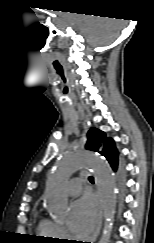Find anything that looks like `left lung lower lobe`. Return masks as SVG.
<instances>
[{"label":"left lung lower lobe","instance_id":"0a47b994","mask_svg":"<svg viewBox=\"0 0 154 243\" xmlns=\"http://www.w3.org/2000/svg\"><path fill=\"white\" fill-rule=\"evenodd\" d=\"M115 171L117 170V167H112ZM119 175H120V181H121V184L123 185L124 184V170L123 168L120 169L119 171Z\"/></svg>","mask_w":154,"mask_h":243}]
</instances>
